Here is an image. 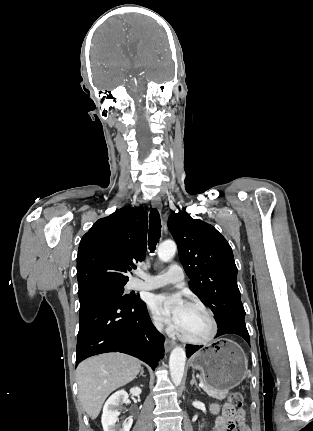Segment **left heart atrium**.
<instances>
[{
  "mask_svg": "<svg viewBox=\"0 0 313 431\" xmlns=\"http://www.w3.org/2000/svg\"><path fill=\"white\" fill-rule=\"evenodd\" d=\"M188 305L179 295L159 294L150 302L151 311L177 330H181Z\"/></svg>",
  "mask_w": 313,
  "mask_h": 431,
  "instance_id": "obj_1",
  "label": "left heart atrium"
}]
</instances>
